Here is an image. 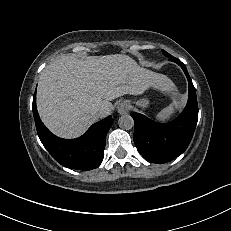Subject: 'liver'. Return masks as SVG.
Returning a JSON list of instances; mask_svg holds the SVG:
<instances>
[{"label":"liver","instance_id":"liver-1","mask_svg":"<svg viewBox=\"0 0 231 231\" xmlns=\"http://www.w3.org/2000/svg\"><path fill=\"white\" fill-rule=\"evenodd\" d=\"M148 87L174 89L167 76L140 67L127 55L89 56L83 60L64 54L41 72L37 108L52 133L76 138L100 118L98 109L104 108L109 115L114 108L110 101L126 94H141Z\"/></svg>","mask_w":231,"mask_h":231}]
</instances>
